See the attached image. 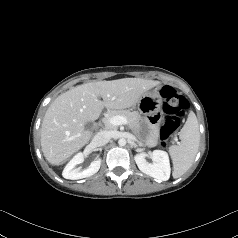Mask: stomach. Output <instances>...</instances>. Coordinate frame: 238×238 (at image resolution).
<instances>
[{"mask_svg":"<svg viewBox=\"0 0 238 238\" xmlns=\"http://www.w3.org/2000/svg\"><path fill=\"white\" fill-rule=\"evenodd\" d=\"M162 106V98L157 92H146L137 102L140 113L149 115L150 112L159 111Z\"/></svg>","mask_w":238,"mask_h":238,"instance_id":"0dacf381","label":"stomach"}]
</instances>
